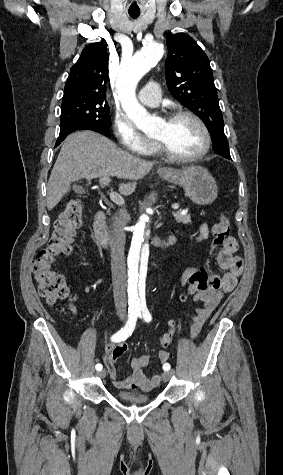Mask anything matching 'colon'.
Segmentation results:
<instances>
[{
	"label": "colon",
	"mask_w": 283,
	"mask_h": 475,
	"mask_svg": "<svg viewBox=\"0 0 283 475\" xmlns=\"http://www.w3.org/2000/svg\"><path fill=\"white\" fill-rule=\"evenodd\" d=\"M83 208L82 203L76 199L69 202L66 208L60 213L59 219L55 223L54 231L47 247L38 251L34 258L33 275L38 287L39 294L43 301L53 306L59 301L68 298L70 287L65 278L57 274L52 266L59 256L67 255L71 251V240L75 231L82 223ZM229 236V216L225 211L217 213L216 222L212 226V249L220 248ZM212 272L207 267H201L192 273L190 286L192 294H198L205 290L212 283ZM176 332L174 321L168 323L166 331L160 338L161 348L170 345ZM169 351L162 349L157 360L165 363Z\"/></svg>",
	"instance_id": "1"
}]
</instances>
